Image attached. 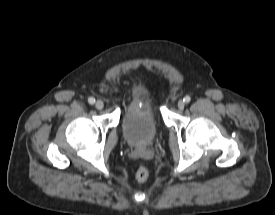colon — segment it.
<instances>
[{"mask_svg":"<svg viewBox=\"0 0 275 215\" xmlns=\"http://www.w3.org/2000/svg\"><path fill=\"white\" fill-rule=\"evenodd\" d=\"M135 177L139 182H145L149 178V170L144 166H140L136 170Z\"/></svg>","mask_w":275,"mask_h":215,"instance_id":"5ec220e1","label":"colon"}]
</instances>
